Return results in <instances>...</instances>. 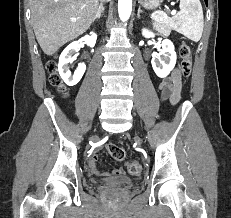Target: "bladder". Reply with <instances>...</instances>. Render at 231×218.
<instances>
[{"mask_svg": "<svg viewBox=\"0 0 231 218\" xmlns=\"http://www.w3.org/2000/svg\"><path fill=\"white\" fill-rule=\"evenodd\" d=\"M105 184L112 186H132L134 184V180L129 177H120L116 179L105 180Z\"/></svg>", "mask_w": 231, "mask_h": 218, "instance_id": "1", "label": "bladder"}]
</instances>
